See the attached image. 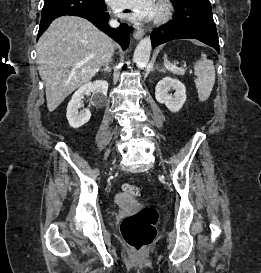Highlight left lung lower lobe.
<instances>
[{
	"label": "left lung lower lobe",
	"mask_w": 261,
	"mask_h": 273,
	"mask_svg": "<svg viewBox=\"0 0 261 273\" xmlns=\"http://www.w3.org/2000/svg\"><path fill=\"white\" fill-rule=\"evenodd\" d=\"M176 13L151 33L152 47L174 39H198L219 53V41L209 0L171 1Z\"/></svg>",
	"instance_id": "left-lung-lower-lobe-1"
}]
</instances>
